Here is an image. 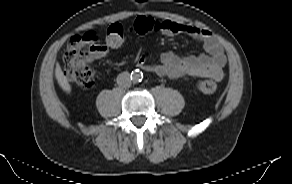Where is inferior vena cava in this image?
I'll return each instance as SVG.
<instances>
[{"label":"inferior vena cava","mask_w":292,"mask_h":184,"mask_svg":"<svg viewBox=\"0 0 292 184\" xmlns=\"http://www.w3.org/2000/svg\"><path fill=\"white\" fill-rule=\"evenodd\" d=\"M117 84L120 87L127 88L131 86V78L128 72H122L117 76Z\"/></svg>","instance_id":"obj_1"}]
</instances>
